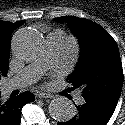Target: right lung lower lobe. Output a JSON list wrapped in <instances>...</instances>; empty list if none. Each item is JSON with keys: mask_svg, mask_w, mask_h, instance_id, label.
Listing matches in <instances>:
<instances>
[{"mask_svg": "<svg viewBox=\"0 0 125 125\" xmlns=\"http://www.w3.org/2000/svg\"><path fill=\"white\" fill-rule=\"evenodd\" d=\"M33 101H35V97L30 92L10 97L7 101L2 99L0 94V125H20L23 105Z\"/></svg>", "mask_w": 125, "mask_h": 125, "instance_id": "98d812e1", "label": "right lung lower lobe"}]
</instances>
